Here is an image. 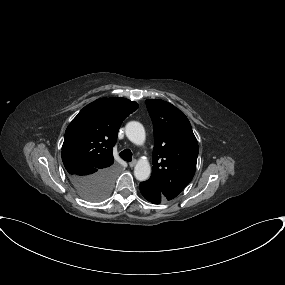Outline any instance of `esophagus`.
<instances>
[{"label":"esophagus","instance_id":"34e87169","mask_svg":"<svg viewBox=\"0 0 285 285\" xmlns=\"http://www.w3.org/2000/svg\"><path fill=\"white\" fill-rule=\"evenodd\" d=\"M136 165V160H133L129 163V166L130 167H134Z\"/></svg>","mask_w":285,"mask_h":285}]
</instances>
